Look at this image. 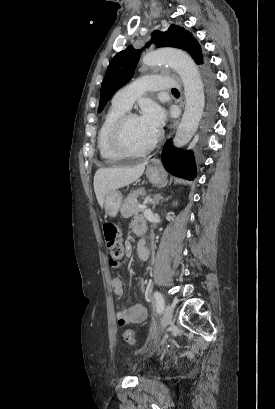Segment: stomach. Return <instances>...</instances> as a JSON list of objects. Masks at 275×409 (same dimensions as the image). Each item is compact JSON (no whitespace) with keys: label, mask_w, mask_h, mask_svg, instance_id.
Masks as SVG:
<instances>
[{"label":"stomach","mask_w":275,"mask_h":409,"mask_svg":"<svg viewBox=\"0 0 275 409\" xmlns=\"http://www.w3.org/2000/svg\"><path fill=\"white\" fill-rule=\"evenodd\" d=\"M146 174L147 178H149L150 182H153V184H162L163 178L157 166H150V164H148ZM122 198L123 196L119 190H111V192H107L104 198V209L109 217H116L122 205Z\"/></svg>","instance_id":"1"}]
</instances>
